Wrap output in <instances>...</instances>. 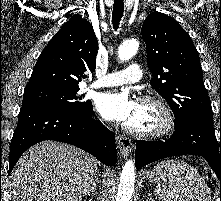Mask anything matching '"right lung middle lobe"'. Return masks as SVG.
Wrapping results in <instances>:
<instances>
[{
	"mask_svg": "<svg viewBox=\"0 0 221 201\" xmlns=\"http://www.w3.org/2000/svg\"><path fill=\"white\" fill-rule=\"evenodd\" d=\"M79 88L31 87L25 88L22 106L42 104L67 109L78 113H86L92 109L90 100L83 101L76 96Z\"/></svg>",
	"mask_w": 221,
	"mask_h": 201,
	"instance_id": "1",
	"label": "right lung middle lobe"
}]
</instances>
